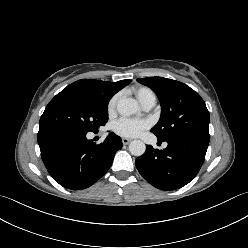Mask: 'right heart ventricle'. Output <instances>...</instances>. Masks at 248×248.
Instances as JSON below:
<instances>
[{"label":"right heart ventricle","mask_w":248,"mask_h":248,"mask_svg":"<svg viewBox=\"0 0 248 248\" xmlns=\"http://www.w3.org/2000/svg\"><path fill=\"white\" fill-rule=\"evenodd\" d=\"M134 93L142 105L150 101L156 102L155 93L148 87L145 86L137 87L134 89Z\"/></svg>","instance_id":"obj_1"}]
</instances>
